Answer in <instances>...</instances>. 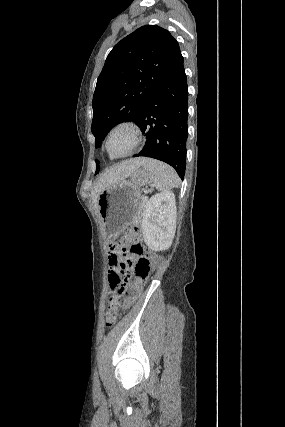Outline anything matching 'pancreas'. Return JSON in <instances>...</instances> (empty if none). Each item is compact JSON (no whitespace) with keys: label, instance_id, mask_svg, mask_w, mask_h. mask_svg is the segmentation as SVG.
I'll list each match as a JSON object with an SVG mask.
<instances>
[{"label":"pancreas","instance_id":"cf45deb5","mask_svg":"<svg viewBox=\"0 0 285 427\" xmlns=\"http://www.w3.org/2000/svg\"><path fill=\"white\" fill-rule=\"evenodd\" d=\"M146 204H147V200H141V201L139 202V207H138V217H137V219H136L135 221L140 220V218H141V216H142V213H143V211H144V209H145Z\"/></svg>","mask_w":285,"mask_h":427}]
</instances>
